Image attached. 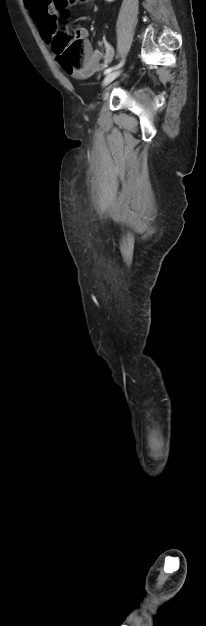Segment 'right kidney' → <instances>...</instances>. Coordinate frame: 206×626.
Segmentation results:
<instances>
[{"label": "right kidney", "instance_id": "1", "mask_svg": "<svg viewBox=\"0 0 206 626\" xmlns=\"http://www.w3.org/2000/svg\"><path fill=\"white\" fill-rule=\"evenodd\" d=\"M106 1H107V2H112V1H114V0H106Z\"/></svg>", "mask_w": 206, "mask_h": 626}]
</instances>
